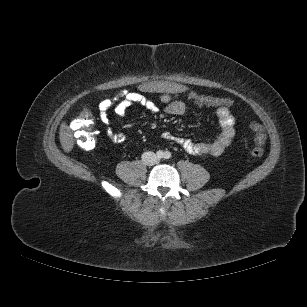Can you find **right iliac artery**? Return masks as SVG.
I'll use <instances>...</instances> for the list:
<instances>
[{
    "mask_svg": "<svg viewBox=\"0 0 307 307\" xmlns=\"http://www.w3.org/2000/svg\"><path fill=\"white\" fill-rule=\"evenodd\" d=\"M156 156H157L158 159H161V158H163L164 153L161 150H159V151H157Z\"/></svg>",
    "mask_w": 307,
    "mask_h": 307,
    "instance_id": "obj_1",
    "label": "right iliac artery"
}]
</instances>
